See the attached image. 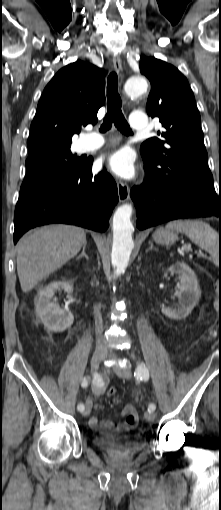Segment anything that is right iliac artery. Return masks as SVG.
<instances>
[{
  "mask_svg": "<svg viewBox=\"0 0 221 510\" xmlns=\"http://www.w3.org/2000/svg\"><path fill=\"white\" fill-rule=\"evenodd\" d=\"M81 385L83 388H86L88 386V378H84ZM77 409L82 412L84 410V405L82 403L78 404Z\"/></svg>",
  "mask_w": 221,
  "mask_h": 510,
  "instance_id": "82829eb1",
  "label": "right iliac artery"
}]
</instances>
